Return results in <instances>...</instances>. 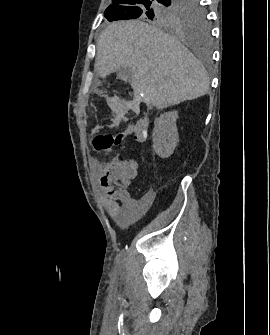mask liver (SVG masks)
Listing matches in <instances>:
<instances>
[{"instance_id":"6515ba94","label":"liver","mask_w":270,"mask_h":335,"mask_svg":"<svg viewBox=\"0 0 270 335\" xmlns=\"http://www.w3.org/2000/svg\"><path fill=\"white\" fill-rule=\"evenodd\" d=\"M132 70V88L158 110L195 100L209 90L208 74L176 38L140 20L113 22L97 40L95 68L106 78Z\"/></svg>"}]
</instances>
